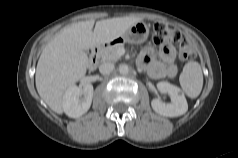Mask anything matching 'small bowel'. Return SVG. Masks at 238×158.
<instances>
[{
    "mask_svg": "<svg viewBox=\"0 0 238 158\" xmlns=\"http://www.w3.org/2000/svg\"><path fill=\"white\" fill-rule=\"evenodd\" d=\"M175 56V49L172 45L163 46L159 50V59L155 51L147 46L141 51L138 64L154 79L174 78L178 72Z\"/></svg>",
    "mask_w": 238,
    "mask_h": 158,
    "instance_id": "small-bowel-1",
    "label": "small bowel"
}]
</instances>
